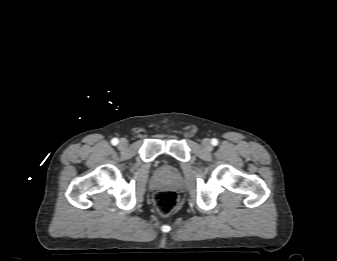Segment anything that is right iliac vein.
Returning <instances> with one entry per match:
<instances>
[{
	"instance_id": "right-iliac-vein-1",
	"label": "right iliac vein",
	"mask_w": 337,
	"mask_h": 261,
	"mask_svg": "<svg viewBox=\"0 0 337 261\" xmlns=\"http://www.w3.org/2000/svg\"><path fill=\"white\" fill-rule=\"evenodd\" d=\"M127 145H128L127 139L122 138V139L119 141V145H118V146H119L120 149H124V148L127 147Z\"/></svg>"
}]
</instances>
